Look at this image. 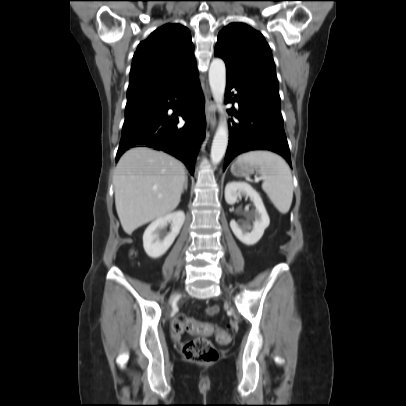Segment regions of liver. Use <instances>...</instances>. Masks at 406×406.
Wrapping results in <instances>:
<instances>
[{
    "instance_id": "1",
    "label": "liver",
    "mask_w": 406,
    "mask_h": 406,
    "mask_svg": "<svg viewBox=\"0 0 406 406\" xmlns=\"http://www.w3.org/2000/svg\"><path fill=\"white\" fill-rule=\"evenodd\" d=\"M184 182L185 166L174 157L146 147L128 150L113 177L123 230L131 235L140 226L172 212L180 202Z\"/></svg>"
}]
</instances>
